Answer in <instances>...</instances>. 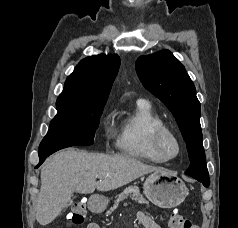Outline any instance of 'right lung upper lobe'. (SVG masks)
<instances>
[{"label": "right lung upper lobe", "mask_w": 238, "mask_h": 228, "mask_svg": "<svg viewBox=\"0 0 238 228\" xmlns=\"http://www.w3.org/2000/svg\"><path fill=\"white\" fill-rule=\"evenodd\" d=\"M120 66L117 55H98L83 59L67 78L57 99L58 112L90 111L106 104Z\"/></svg>", "instance_id": "1"}]
</instances>
